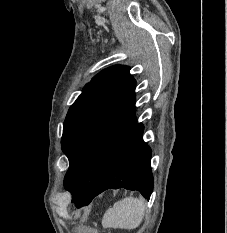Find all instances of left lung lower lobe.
I'll list each match as a JSON object with an SVG mask.
<instances>
[{"label":"left lung lower lobe","instance_id":"1","mask_svg":"<svg viewBox=\"0 0 227 233\" xmlns=\"http://www.w3.org/2000/svg\"><path fill=\"white\" fill-rule=\"evenodd\" d=\"M143 130L139 123L128 132L112 153L95 190L74 202L77 208L88 205L95 196L111 188L138 190L150 198L154 182L151 149L142 139Z\"/></svg>","mask_w":227,"mask_h":233}]
</instances>
